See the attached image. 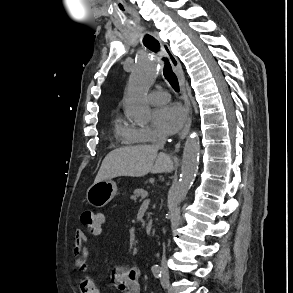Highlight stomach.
<instances>
[{
	"label": "stomach",
	"instance_id": "stomach-1",
	"mask_svg": "<svg viewBox=\"0 0 293 293\" xmlns=\"http://www.w3.org/2000/svg\"><path fill=\"white\" fill-rule=\"evenodd\" d=\"M117 186L112 180L94 183L87 190V201L94 207L101 208L108 204L116 195Z\"/></svg>",
	"mask_w": 293,
	"mask_h": 293
}]
</instances>
